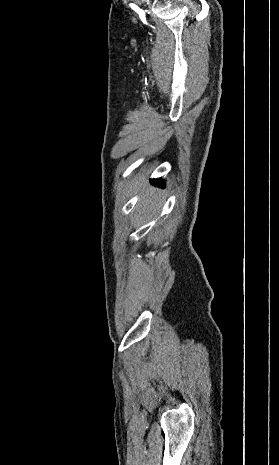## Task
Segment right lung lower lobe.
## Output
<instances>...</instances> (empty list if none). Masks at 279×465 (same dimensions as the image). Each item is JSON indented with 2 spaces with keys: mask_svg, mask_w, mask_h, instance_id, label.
<instances>
[{
  "mask_svg": "<svg viewBox=\"0 0 279 465\" xmlns=\"http://www.w3.org/2000/svg\"><path fill=\"white\" fill-rule=\"evenodd\" d=\"M162 181H163L162 179H156V180H155V185L163 186L164 183H163Z\"/></svg>",
  "mask_w": 279,
  "mask_h": 465,
  "instance_id": "1",
  "label": "right lung lower lobe"
}]
</instances>
